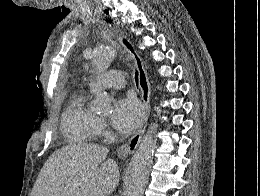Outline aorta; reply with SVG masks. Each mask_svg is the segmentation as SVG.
Wrapping results in <instances>:
<instances>
[{
  "mask_svg": "<svg viewBox=\"0 0 260 196\" xmlns=\"http://www.w3.org/2000/svg\"><path fill=\"white\" fill-rule=\"evenodd\" d=\"M114 47H100L95 50L92 66L97 74L105 72L116 56ZM111 98L104 92L96 95V107L102 112L110 109ZM155 123L151 124L145 133L139 148L131 159L129 166V182L126 190L127 196H143L147 183L149 170L152 165L153 152L156 144Z\"/></svg>",
  "mask_w": 260,
  "mask_h": 196,
  "instance_id": "obj_1",
  "label": "aorta"
}]
</instances>
